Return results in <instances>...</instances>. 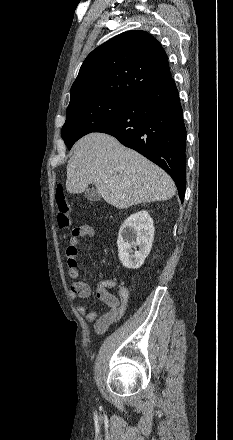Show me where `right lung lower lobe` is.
<instances>
[{
	"instance_id": "1",
	"label": "right lung lower lobe",
	"mask_w": 233,
	"mask_h": 440,
	"mask_svg": "<svg viewBox=\"0 0 233 440\" xmlns=\"http://www.w3.org/2000/svg\"><path fill=\"white\" fill-rule=\"evenodd\" d=\"M95 132L107 133L163 168L181 202L186 187V128L173 78L131 97L123 110Z\"/></svg>"
}]
</instances>
